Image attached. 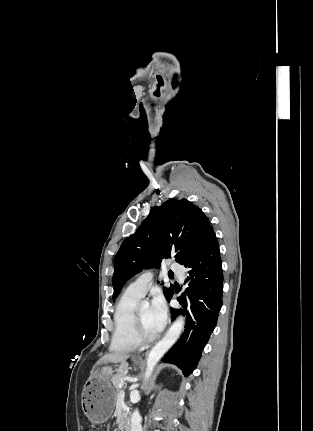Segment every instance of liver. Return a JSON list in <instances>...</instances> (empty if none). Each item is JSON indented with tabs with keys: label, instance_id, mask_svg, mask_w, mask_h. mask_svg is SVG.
<instances>
[{
	"label": "liver",
	"instance_id": "liver-1",
	"mask_svg": "<svg viewBox=\"0 0 313 431\" xmlns=\"http://www.w3.org/2000/svg\"><path fill=\"white\" fill-rule=\"evenodd\" d=\"M129 356L130 355L128 353H125V352H113V353L106 354L96 363L94 368L96 366H99L102 364H107V363H115V364L120 363L121 366L119 367L118 371L122 372V368L124 367L125 362L129 358ZM94 368L90 372V374H91L90 378L95 374Z\"/></svg>",
	"mask_w": 313,
	"mask_h": 431
}]
</instances>
